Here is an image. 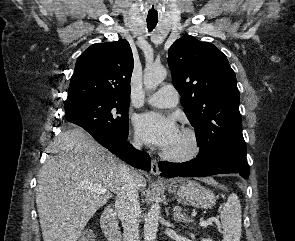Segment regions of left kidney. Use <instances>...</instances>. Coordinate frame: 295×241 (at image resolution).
I'll return each mask as SVG.
<instances>
[{"label": "left kidney", "mask_w": 295, "mask_h": 241, "mask_svg": "<svg viewBox=\"0 0 295 241\" xmlns=\"http://www.w3.org/2000/svg\"><path fill=\"white\" fill-rule=\"evenodd\" d=\"M202 241H212V239L208 238V239H202Z\"/></svg>", "instance_id": "obj_1"}]
</instances>
